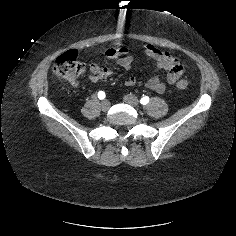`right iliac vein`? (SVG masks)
<instances>
[{
	"instance_id": "obj_1",
	"label": "right iliac vein",
	"mask_w": 236,
	"mask_h": 236,
	"mask_svg": "<svg viewBox=\"0 0 236 236\" xmlns=\"http://www.w3.org/2000/svg\"><path fill=\"white\" fill-rule=\"evenodd\" d=\"M110 108V102L108 100H104L101 102L102 111H108Z\"/></svg>"
}]
</instances>
